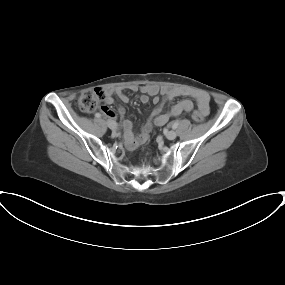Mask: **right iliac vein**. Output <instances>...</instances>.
<instances>
[{
    "mask_svg": "<svg viewBox=\"0 0 285 285\" xmlns=\"http://www.w3.org/2000/svg\"><path fill=\"white\" fill-rule=\"evenodd\" d=\"M107 125L111 130H115L117 128V124L113 120H108Z\"/></svg>",
    "mask_w": 285,
    "mask_h": 285,
    "instance_id": "63e3f726",
    "label": "right iliac vein"
}]
</instances>
